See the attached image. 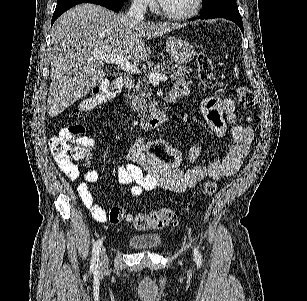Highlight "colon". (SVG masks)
I'll return each mask as SVG.
<instances>
[{
    "mask_svg": "<svg viewBox=\"0 0 307 301\" xmlns=\"http://www.w3.org/2000/svg\"><path fill=\"white\" fill-rule=\"evenodd\" d=\"M198 76L207 88H215L219 80L214 74L213 64L209 56L200 53L197 58ZM119 81L102 82L90 96L80 101L74 110V116L79 117L84 112L92 110L95 106L113 98L120 90ZM237 101L240 107L250 108L254 105L253 92L247 86L237 89ZM84 129L81 125L68 126L49 140V148L55 157L79 161L88 156V149L84 144ZM217 191V185L208 181L202 186V194L205 197L213 196ZM175 220V214L169 209L162 208L149 212L131 214L124 208L114 206L109 211V221L112 224L129 223L137 230L159 229L171 225Z\"/></svg>",
    "mask_w": 307,
    "mask_h": 301,
    "instance_id": "obj_1",
    "label": "colon"
}]
</instances>
